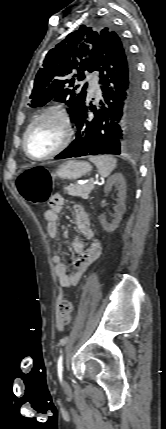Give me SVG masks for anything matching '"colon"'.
Instances as JSON below:
<instances>
[{
    "label": "colon",
    "instance_id": "5ec220e1",
    "mask_svg": "<svg viewBox=\"0 0 166 429\" xmlns=\"http://www.w3.org/2000/svg\"><path fill=\"white\" fill-rule=\"evenodd\" d=\"M16 186L20 195L28 202L42 205L47 202L51 188V177L46 168H25L17 177ZM74 305L71 299L63 298L57 304V320L64 326L72 320Z\"/></svg>",
    "mask_w": 166,
    "mask_h": 429
}]
</instances>
